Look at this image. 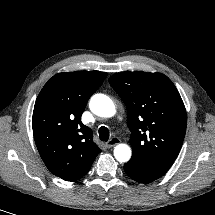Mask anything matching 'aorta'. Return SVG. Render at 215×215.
<instances>
[{
	"label": "aorta",
	"instance_id": "762f6f07",
	"mask_svg": "<svg viewBox=\"0 0 215 215\" xmlns=\"http://www.w3.org/2000/svg\"><path fill=\"white\" fill-rule=\"evenodd\" d=\"M90 109L94 114L105 118L112 117L116 112L113 101L104 94L92 96ZM114 156L119 162H127L131 157V149L126 144H119L114 149Z\"/></svg>",
	"mask_w": 215,
	"mask_h": 215
}]
</instances>
